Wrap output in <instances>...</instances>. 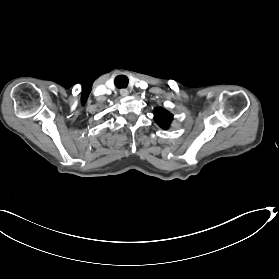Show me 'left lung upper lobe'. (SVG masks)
Wrapping results in <instances>:
<instances>
[{"label":"left lung upper lobe","instance_id":"obj_1","mask_svg":"<svg viewBox=\"0 0 279 279\" xmlns=\"http://www.w3.org/2000/svg\"><path fill=\"white\" fill-rule=\"evenodd\" d=\"M154 120L162 129H167L172 121V115L159 107L154 110Z\"/></svg>","mask_w":279,"mask_h":279}]
</instances>
